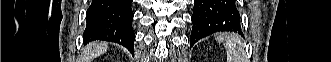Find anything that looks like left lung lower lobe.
I'll return each instance as SVG.
<instances>
[{"label": "left lung lower lobe", "instance_id": "obj_1", "mask_svg": "<svg viewBox=\"0 0 331 62\" xmlns=\"http://www.w3.org/2000/svg\"><path fill=\"white\" fill-rule=\"evenodd\" d=\"M190 45L220 31L242 34L241 18L235 0H194Z\"/></svg>", "mask_w": 331, "mask_h": 62}]
</instances>
